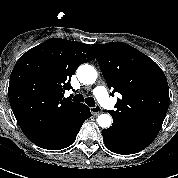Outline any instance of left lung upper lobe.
Masks as SVG:
<instances>
[{"mask_svg":"<svg viewBox=\"0 0 178 178\" xmlns=\"http://www.w3.org/2000/svg\"><path fill=\"white\" fill-rule=\"evenodd\" d=\"M103 77L121 94L117 110H109L113 124L153 141L169 106V88L162 69L126 43L93 44Z\"/></svg>","mask_w":178,"mask_h":178,"instance_id":"obj_1","label":"left lung upper lobe"}]
</instances>
